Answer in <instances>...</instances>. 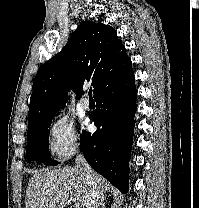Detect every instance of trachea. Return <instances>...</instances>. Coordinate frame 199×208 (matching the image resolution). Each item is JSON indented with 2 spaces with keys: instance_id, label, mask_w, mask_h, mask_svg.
<instances>
[{
  "instance_id": "obj_1",
  "label": "trachea",
  "mask_w": 199,
  "mask_h": 208,
  "mask_svg": "<svg viewBox=\"0 0 199 208\" xmlns=\"http://www.w3.org/2000/svg\"><path fill=\"white\" fill-rule=\"evenodd\" d=\"M88 95H89V98L90 99H92L93 97H92V89H89V93H88Z\"/></svg>"
}]
</instances>
